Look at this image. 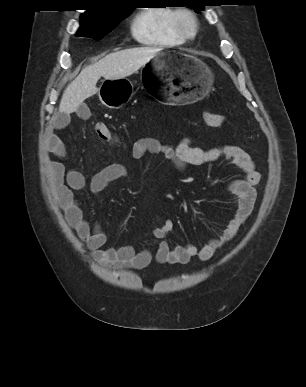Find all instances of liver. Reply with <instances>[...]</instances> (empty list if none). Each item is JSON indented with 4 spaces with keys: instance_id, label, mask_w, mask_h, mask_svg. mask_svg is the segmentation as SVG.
Wrapping results in <instances>:
<instances>
[{
    "instance_id": "liver-1",
    "label": "liver",
    "mask_w": 306,
    "mask_h": 387,
    "mask_svg": "<svg viewBox=\"0 0 306 387\" xmlns=\"http://www.w3.org/2000/svg\"><path fill=\"white\" fill-rule=\"evenodd\" d=\"M159 51L160 49L153 47L125 49L110 53L98 62L85 67L65 89L59 111L66 114L75 112L85 99L99 92L96 84L101 77L106 80H119L130 76Z\"/></svg>"
}]
</instances>
